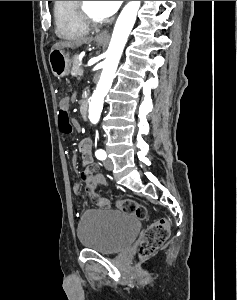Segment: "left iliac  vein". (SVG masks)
I'll return each mask as SVG.
<instances>
[{
    "instance_id": "1",
    "label": "left iliac vein",
    "mask_w": 237,
    "mask_h": 300,
    "mask_svg": "<svg viewBox=\"0 0 237 300\" xmlns=\"http://www.w3.org/2000/svg\"><path fill=\"white\" fill-rule=\"evenodd\" d=\"M104 167L108 170H112L113 169V163H112V160L107 158L104 162Z\"/></svg>"
}]
</instances>
